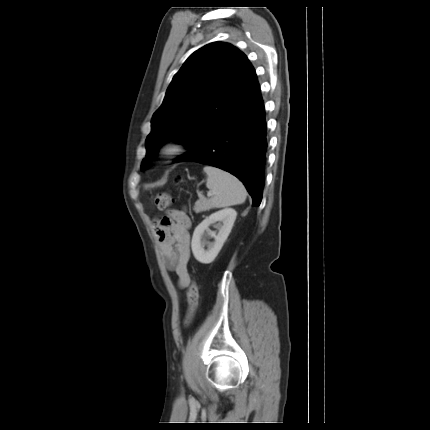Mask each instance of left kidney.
<instances>
[{
  "label": "left kidney",
  "instance_id": "5707ae66",
  "mask_svg": "<svg viewBox=\"0 0 430 430\" xmlns=\"http://www.w3.org/2000/svg\"><path fill=\"white\" fill-rule=\"evenodd\" d=\"M236 216L237 212L233 208H225L212 213L195 228L191 248L197 261L203 264H209L214 261L232 230ZM211 224H216L217 234L209 230ZM205 231L210 237L214 238V242H207L203 239ZM205 245L208 247L207 250L204 249Z\"/></svg>",
  "mask_w": 430,
  "mask_h": 430
}]
</instances>
